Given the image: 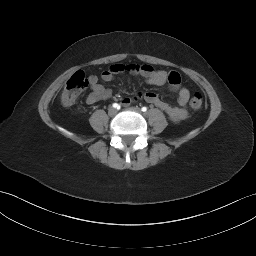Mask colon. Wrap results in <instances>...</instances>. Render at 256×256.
I'll list each match as a JSON object with an SVG mask.
<instances>
[{
    "instance_id": "colon-1",
    "label": "colon",
    "mask_w": 256,
    "mask_h": 256,
    "mask_svg": "<svg viewBox=\"0 0 256 256\" xmlns=\"http://www.w3.org/2000/svg\"><path fill=\"white\" fill-rule=\"evenodd\" d=\"M89 85V79L86 75L78 71L74 73L67 81L65 88L61 94V103L64 106L73 105L82 91ZM204 98L200 92L192 94L190 99V107L193 110H200L203 106Z\"/></svg>"
}]
</instances>
